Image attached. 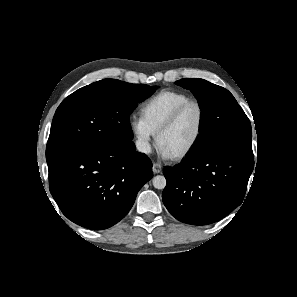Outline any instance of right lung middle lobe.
Returning <instances> with one entry per match:
<instances>
[{
    "label": "right lung middle lobe",
    "mask_w": 297,
    "mask_h": 297,
    "mask_svg": "<svg viewBox=\"0 0 297 297\" xmlns=\"http://www.w3.org/2000/svg\"><path fill=\"white\" fill-rule=\"evenodd\" d=\"M156 88L104 79L69 95L57 108L52 121L47 163L75 148L131 141L129 115Z\"/></svg>",
    "instance_id": "dd1d6c3e"
}]
</instances>
